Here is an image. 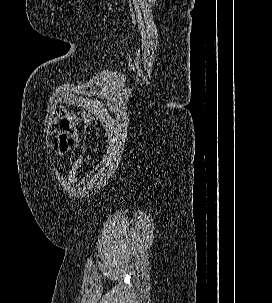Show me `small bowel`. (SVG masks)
<instances>
[{
    "instance_id": "small-bowel-1",
    "label": "small bowel",
    "mask_w": 272,
    "mask_h": 303,
    "mask_svg": "<svg viewBox=\"0 0 272 303\" xmlns=\"http://www.w3.org/2000/svg\"><path fill=\"white\" fill-rule=\"evenodd\" d=\"M56 134L51 147L57 156H62L79 143V129L75 115L67 109H59L54 120Z\"/></svg>"
}]
</instances>
